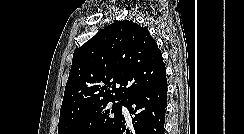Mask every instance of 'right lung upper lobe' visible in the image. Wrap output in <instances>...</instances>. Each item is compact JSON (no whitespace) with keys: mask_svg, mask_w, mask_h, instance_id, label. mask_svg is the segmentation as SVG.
Listing matches in <instances>:
<instances>
[{"mask_svg":"<svg viewBox=\"0 0 244 134\" xmlns=\"http://www.w3.org/2000/svg\"><path fill=\"white\" fill-rule=\"evenodd\" d=\"M165 76L148 29L131 20L114 22L74 51L59 120L108 100H125Z\"/></svg>","mask_w":244,"mask_h":134,"instance_id":"cb5924a9","label":"right lung upper lobe"}]
</instances>
